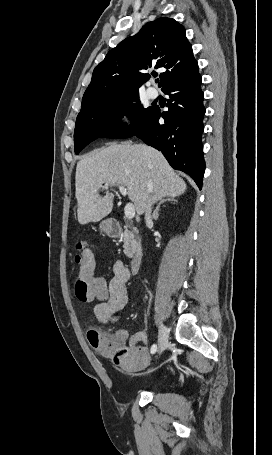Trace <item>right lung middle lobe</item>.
<instances>
[{
    "label": "right lung middle lobe",
    "mask_w": 272,
    "mask_h": 455,
    "mask_svg": "<svg viewBox=\"0 0 272 455\" xmlns=\"http://www.w3.org/2000/svg\"><path fill=\"white\" fill-rule=\"evenodd\" d=\"M139 94L102 104L92 110L79 113L74 131V148L78 154L97 138H129L148 120L155 107L143 108ZM129 114L132 123L126 127L120 118Z\"/></svg>",
    "instance_id": "dd1d6c3e"
}]
</instances>
